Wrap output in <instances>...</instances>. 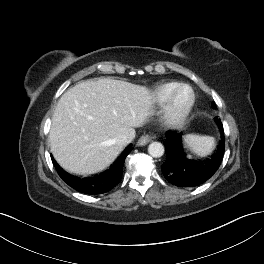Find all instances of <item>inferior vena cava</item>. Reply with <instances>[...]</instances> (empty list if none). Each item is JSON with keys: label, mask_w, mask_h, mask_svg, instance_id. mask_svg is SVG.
Masks as SVG:
<instances>
[{"label": "inferior vena cava", "mask_w": 264, "mask_h": 264, "mask_svg": "<svg viewBox=\"0 0 264 264\" xmlns=\"http://www.w3.org/2000/svg\"><path fill=\"white\" fill-rule=\"evenodd\" d=\"M116 142L120 146H126L128 143H130V139L126 135H121L116 138Z\"/></svg>", "instance_id": "602c4592"}]
</instances>
